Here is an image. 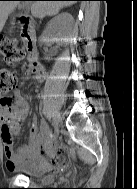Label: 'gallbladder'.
<instances>
[{
  "label": "gallbladder",
  "instance_id": "bac80fb5",
  "mask_svg": "<svg viewBox=\"0 0 137 189\" xmlns=\"http://www.w3.org/2000/svg\"><path fill=\"white\" fill-rule=\"evenodd\" d=\"M26 6H27L26 4H20V5L18 6V9H24V8H27Z\"/></svg>",
  "mask_w": 137,
  "mask_h": 189
}]
</instances>
